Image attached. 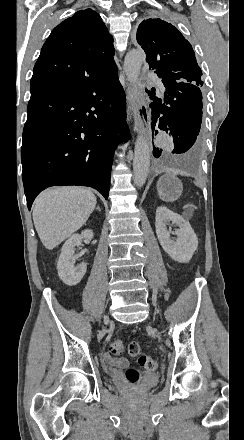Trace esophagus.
I'll use <instances>...</instances> for the list:
<instances>
[{
  "instance_id": "1",
  "label": "esophagus",
  "mask_w": 244,
  "mask_h": 440,
  "mask_svg": "<svg viewBox=\"0 0 244 440\" xmlns=\"http://www.w3.org/2000/svg\"><path fill=\"white\" fill-rule=\"evenodd\" d=\"M126 94L129 108L132 109L135 115V133H140L148 141L150 149L152 150L151 131H150V114L148 111L147 103L144 97L137 96L134 92L133 83L126 80Z\"/></svg>"
}]
</instances>
